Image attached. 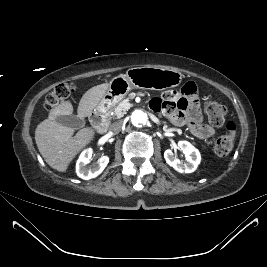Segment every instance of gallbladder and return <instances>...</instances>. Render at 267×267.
Wrapping results in <instances>:
<instances>
[{"label": "gallbladder", "instance_id": "gallbladder-1", "mask_svg": "<svg viewBox=\"0 0 267 267\" xmlns=\"http://www.w3.org/2000/svg\"><path fill=\"white\" fill-rule=\"evenodd\" d=\"M56 121L64 126L71 127L73 129H80L85 126V119L78 115H65L57 117Z\"/></svg>", "mask_w": 267, "mask_h": 267}]
</instances>
